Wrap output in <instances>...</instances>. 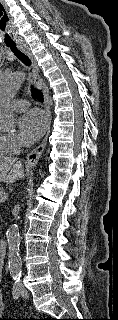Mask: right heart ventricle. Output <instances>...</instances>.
<instances>
[{
    "label": "right heart ventricle",
    "mask_w": 118,
    "mask_h": 320,
    "mask_svg": "<svg viewBox=\"0 0 118 320\" xmlns=\"http://www.w3.org/2000/svg\"><path fill=\"white\" fill-rule=\"evenodd\" d=\"M7 153L5 148L2 146L1 141H0V155Z\"/></svg>",
    "instance_id": "obj_1"
}]
</instances>
